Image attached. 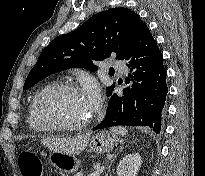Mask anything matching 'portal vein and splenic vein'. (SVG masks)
<instances>
[{"label": "portal vein and splenic vein", "instance_id": "obj_1", "mask_svg": "<svg viewBox=\"0 0 205 176\" xmlns=\"http://www.w3.org/2000/svg\"><path fill=\"white\" fill-rule=\"evenodd\" d=\"M103 171H104V166L99 167V168L96 169V171L93 174V176H99Z\"/></svg>", "mask_w": 205, "mask_h": 176}]
</instances>
